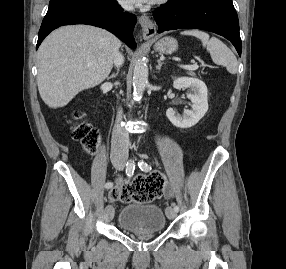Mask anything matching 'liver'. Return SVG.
I'll list each match as a JSON object with an SVG mask.
<instances>
[{
    "label": "liver",
    "instance_id": "obj_1",
    "mask_svg": "<svg viewBox=\"0 0 286 269\" xmlns=\"http://www.w3.org/2000/svg\"><path fill=\"white\" fill-rule=\"evenodd\" d=\"M121 42L106 30L88 25L56 29L37 52V85L50 108L66 106L79 92L110 74Z\"/></svg>",
    "mask_w": 286,
    "mask_h": 269
}]
</instances>
